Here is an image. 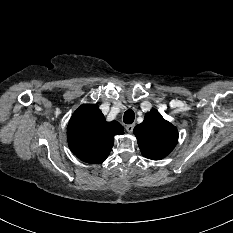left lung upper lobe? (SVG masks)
I'll return each instance as SVG.
<instances>
[{"label": "left lung upper lobe", "mask_w": 233, "mask_h": 233, "mask_svg": "<svg viewBox=\"0 0 233 233\" xmlns=\"http://www.w3.org/2000/svg\"><path fill=\"white\" fill-rule=\"evenodd\" d=\"M133 132L142 155L152 160L166 157L178 141L176 127L166 121L156 109L148 112Z\"/></svg>", "instance_id": "5c2ea615"}]
</instances>
